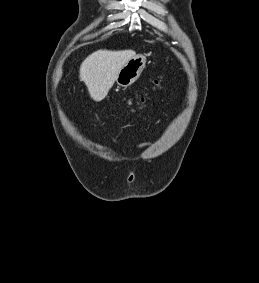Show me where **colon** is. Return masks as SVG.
<instances>
[{
    "label": "colon",
    "instance_id": "5ec220e1",
    "mask_svg": "<svg viewBox=\"0 0 259 283\" xmlns=\"http://www.w3.org/2000/svg\"><path fill=\"white\" fill-rule=\"evenodd\" d=\"M164 83H165V80H164L163 77L157 78V79L154 81V83H153V91L156 92V91L161 90V89L163 88V86H164ZM147 100H148V97L144 96V97H142L141 99H139V100L137 101V103H139V104H145V103L147 102Z\"/></svg>",
    "mask_w": 259,
    "mask_h": 283
}]
</instances>
